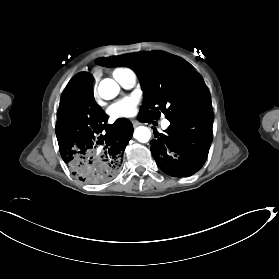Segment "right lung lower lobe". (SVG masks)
<instances>
[{
  "mask_svg": "<svg viewBox=\"0 0 279 279\" xmlns=\"http://www.w3.org/2000/svg\"><path fill=\"white\" fill-rule=\"evenodd\" d=\"M88 72L75 75L62 93L57 112L56 136L62 159L79 180L102 184L120 172L124 150L133 127L121 118L107 124V115L93 96Z\"/></svg>",
  "mask_w": 279,
  "mask_h": 279,
  "instance_id": "right-lung-lower-lobe-1",
  "label": "right lung lower lobe"
}]
</instances>
